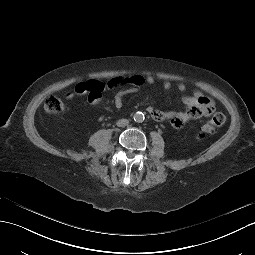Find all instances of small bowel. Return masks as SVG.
I'll use <instances>...</instances> for the list:
<instances>
[{"label": "small bowel", "instance_id": "small-bowel-1", "mask_svg": "<svg viewBox=\"0 0 255 255\" xmlns=\"http://www.w3.org/2000/svg\"><path fill=\"white\" fill-rule=\"evenodd\" d=\"M145 83L154 84V77H144L141 75L117 77L111 79L107 83H102L97 80H88L77 83L73 91L66 95V98L70 100L74 96L86 95L90 103L97 104L100 101L104 91L118 89L114 97V105L116 108H121L123 106V99L125 95L135 92ZM124 86H128V88L123 89L122 87ZM162 87L168 90L172 87V83L169 80H164L162 82ZM176 88L179 92H184L186 86L183 83H178ZM183 103L186 106V110L182 112H163L151 106L147 108V111L154 120H168L173 128L178 129L189 120L199 119L203 116H210L215 109L214 102L205 97L199 91L183 97Z\"/></svg>", "mask_w": 255, "mask_h": 255}]
</instances>
